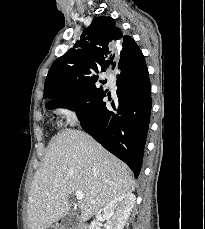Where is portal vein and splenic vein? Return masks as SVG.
<instances>
[{
    "mask_svg": "<svg viewBox=\"0 0 205 229\" xmlns=\"http://www.w3.org/2000/svg\"><path fill=\"white\" fill-rule=\"evenodd\" d=\"M75 196H76L77 200H82L84 197V195L81 191H76Z\"/></svg>",
    "mask_w": 205,
    "mask_h": 229,
    "instance_id": "1",
    "label": "portal vein and splenic vein"
}]
</instances>
